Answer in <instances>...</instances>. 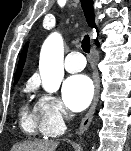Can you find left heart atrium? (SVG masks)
<instances>
[{"instance_id":"obj_1","label":"left heart atrium","mask_w":131,"mask_h":151,"mask_svg":"<svg viewBox=\"0 0 131 151\" xmlns=\"http://www.w3.org/2000/svg\"><path fill=\"white\" fill-rule=\"evenodd\" d=\"M93 83L86 75H74L63 84L62 95L66 106L81 111L88 106L93 96Z\"/></svg>"}]
</instances>
